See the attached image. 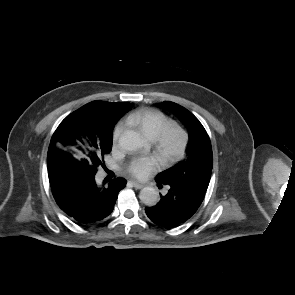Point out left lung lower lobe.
I'll return each instance as SVG.
<instances>
[{
  "label": "left lung lower lobe",
  "instance_id": "obj_1",
  "mask_svg": "<svg viewBox=\"0 0 295 295\" xmlns=\"http://www.w3.org/2000/svg\"><path fill=\"white\" fill-rule=\"evenodd\" d=\"M156 182L161 188L163 183ZM164 185L168 186V193L164 196L160 194V201L155 206L147 207L145 212L151 221L169 228L191 218L201 205L206 192L204 189L196 190L174 182Z\"/></svg>",
  "mask_w": 295,
  "mask_h": 295
}]
</instances>
